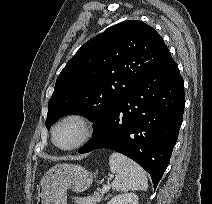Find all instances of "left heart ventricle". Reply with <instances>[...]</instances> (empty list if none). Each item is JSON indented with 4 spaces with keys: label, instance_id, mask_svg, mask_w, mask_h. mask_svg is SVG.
Returning <instances> with one entry per match:
<instances>
[{
    "label": "left heart ventricle",
    "instance_id": "obj_1",
    "mask_svg": "<svg viewBox=\"0 0 212 204\" xmlns=\"http://www.w3.org/2000/svg\"><path fill=\"white\" fill-rule=\"evenodd\" d=\"M80 126L75 122L61 125L56 131V142L63 147L73 145L80 137Z\"/></svg>",
    "mask_w": 212,
    "mask_h": 204
}]
</instances>
